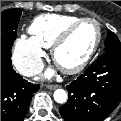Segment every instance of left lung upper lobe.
<instances>
[{
	"label": "left lung upper lobe",
	"mask_w": 121,
	"mask_h": 121,
	"mask_svg": "<svg viewBox=\"0 0 121 121\" xmlns=\"http://www.w3.org/2000/svg\"><path fill=\"white\" fill-rule=\"evenodd\" d=\"M117 51L121 52V43L118 37L110 30L105 40V52Z\"/></svg>",
	"instance_id": "1"
}]
</instances>
